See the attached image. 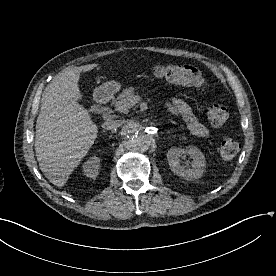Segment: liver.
Instances as JSON below:
<instances>
[{
  "label": "liver",
  "mask_w": 276,
  "mask_h": 276,
  "mask_svg": "<svg viewBox=\"0 0 276 276\" xmlns=\"http://www.w3.org/2000/svg\"><path fill=\"white\" fill-rule=\"evenodd\" d=\"M97 65L66 69L52 80L42 95L35 152L44 176L57 187L66 184L97 138V125L77 102L82 98L78 85L80 73Z\"/></svg>",
  "instance_id": "6515ba94"
}]
</instances>
